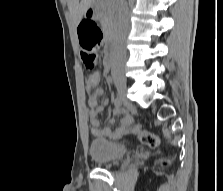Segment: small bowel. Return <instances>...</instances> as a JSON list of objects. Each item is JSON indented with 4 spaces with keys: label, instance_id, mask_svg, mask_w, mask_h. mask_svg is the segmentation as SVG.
Wrapping results in <instances>:
<instances>
[{
    "label": "small bowel",
    "instance_id": "1",
    "mask_svg": "<svg viewBox=\"0 0 223 191\" xmlns=\"http://www.w3.org/2000/svg\"><path fill=\"white\" fill-rule=\"evenodd\" d=\"M88 28H98L93 24H86ZM99 29V28H98ZM104 73L108 74L112 65V60L108 59L105 55L103 58ZM88 92V116L91 126V133L95 137H104L108 139H118L131 132V125L133 123V118L126 110L121 108L119 105L115 104L113 113L115 116L124 114L120 119L119 125L116 128L107 127L102 129L101 122L98 119V115L104 110L108 103V100H104L102 103L99 102V98L104 96V90L100 87L93 88L91 84L87 85ZM114 119L110 121L111 124L114 123Z\"/></svg>",
    "mask_w": 223,
    "mask_h": 191
}]
</instances>
